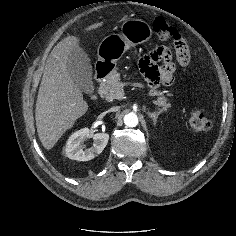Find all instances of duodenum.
Returning <instances> with one entry per match:
<instances>
[{
  "label": "duodenum",
  "mask_w": 236,
  "mask_h": 236,
  "mask_svg": "<svg viewBox=\"0 0 236 236\" xmlns=\"http://www.w3.org/2000/svg\"><path fill=\"white\" fill-rule=\"evenodd\" d=\"M112 67L108 66L107 64H101L97 67L96 73L94 76V81L96 85H99L106 75L111 71ZM97 94H93V99H97Z\"/></svg>",
  "instance_id": "obj_1"
}]
</instances>
